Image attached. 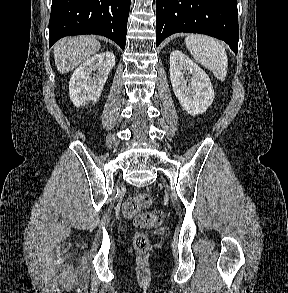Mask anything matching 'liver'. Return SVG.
Segmentation results:
<instances>
[{
    "label": "liver",
    "mask_w": 288,
    "mask_h": 293,
    "mask_svg": "<svg viewBox=\"0 0 288 293\" xmlns=\"http://www.w3.org/2000/svg\"><path fill=\"white\" fill-rule=\"evenodd\" d=\"M100 42L91 36L62 38L54 45V59L57 70L67 73L85 62L99 51Z\"/></svg>",
    "instance_id": "obj_1"
}]
</instances>
